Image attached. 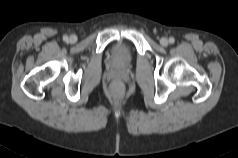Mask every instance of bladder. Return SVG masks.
Masks as SVG:
<instances>
[{
  "instance_id": "bladder-1",
  "label": "bladder",
  "mask_w": 238,
  "mask_h": 158,
  "mask_svg": "<svg viewBox=\"0 0 238 158\" xmlns=\"http://www.w3.org/2000/svg\"><path fill=\"white\" fill-rule=\"evenodd\" d=\"M111 60L118 66H126L132 61V53L126 46L118 44L111 52Z\"/></svg>"
}]
</instances>
